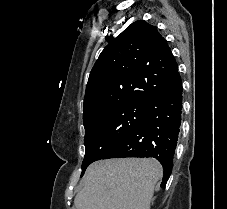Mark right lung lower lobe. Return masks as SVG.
<instances>
[{
	"label": "right lung lower lobe",
	"mask_w": 227,
	"mask_h": 209,
	"mask_svg": "<svg viewBox=\"0 0 227 209\" xmlns=\"http://www.w3.org/2000/svg\"><path fill=\"white\" fill-rule=\"evenodd\" d=\"M162 73L171 79L170 85L145 102L141 120L102 159L154 157L164 168L161 188H165L180 131L182 82L177 63L164 66Z\"/></svg>",
	"instance_id": "98d812e1"
}]
</instances>
